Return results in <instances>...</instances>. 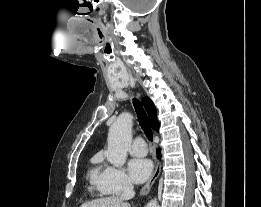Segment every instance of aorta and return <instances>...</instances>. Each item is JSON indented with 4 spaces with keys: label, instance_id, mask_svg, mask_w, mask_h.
I'll return each instance as SVG.
<instances>
[{
    "label": "aorta",
    "instance_id": "1",
    "mask_svg": "<svg viewBox=\"0 0 261 207\" xmlns=\"http://www.w3.org/2000/svg\"><path fill=\"white\" fill-rule=\"evenodd\" d=\"M132 125V115L123 113L109 128L105 156L115 167H121L126 162L127 151L132 142ZM146 207H158V203L156 200H151Z\"/></svg>",
    "mask_w": 261,
    "mask_h": 207
}]
</instances>
